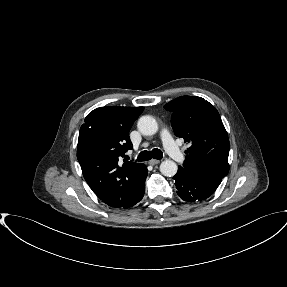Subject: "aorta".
<instances>
[{
	"instance_id": "aorta-1",
	"label": "aorta",
	"mask_w": 287,
	"mask_h": 287,
	"mask_svg": "<svg viewBox=\"0 0 287 287\" xmlns=\"http://www.w3.org/2000/svg\"><path fill=\"white\" fill-rule=\"evenodd\" d=\"M138 130L143 135H154L158 130V123L150 115L140 117L137 123ZM178 170L177 164L172 160H164L160 164V172L167 177H173Z\"/></svg>"
}]
</instances>
